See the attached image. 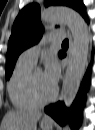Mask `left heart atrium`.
<instances>
[{"label":"left heart atrium","mask_w":95,"mask_h":130,"mask_svg":"<svg viewBox=\"0 0 95 130\" xmlns=\"http://www.w3.org/2000/svg\"><path fill=\"white\" fill-rule=\"evenodd\" d=\"M43 75L46 82L55 88L60 77V68L54 57L50 56L46 58Z\"/></svg>","instance_id":"39dd6f15"}]
</instances>
